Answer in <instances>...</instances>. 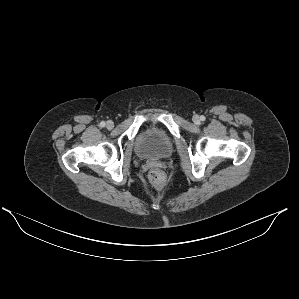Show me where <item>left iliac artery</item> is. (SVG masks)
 I'll list each match as a JSON object with an SVG mask.
<instances>
[{
	"mask_svg": "<svg viewBox=\"0 0 299 299\" xmlns=\"http://www.w3.org/2000/svg\"><path fill=\"white\" fill-rule=\"evenodd\" d=\"M205 119H206V118H205V116H203V115L200 117V120H201V121H205Z\"/></svg>",
	"mask_w": 299,
	"mask_h": 299,
	"instance_id": "left-iliac-artery-1",
	"label": "left iliac artery"
}]
</instances>
